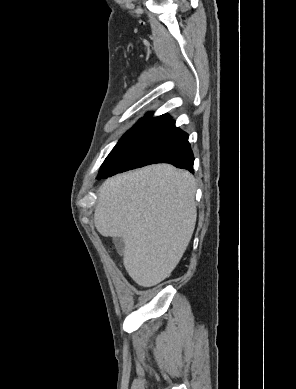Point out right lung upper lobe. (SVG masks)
<instances>
[{"label":"right lung upper lobe","mask_w":296,"mask_h":389,"mask_svg":"<svg viewBox=\"0 0 296 389\" xmlns=\"http://www.w3.org/2000/svg\"><path fill=\"white\" fill-rule=\"evenodd\" d=\"M151 116H152V113H148V114L146 115V117H151ZM159 118H167V119H170V118L168 117L167 114L161 115V116H159Z\"/></svg>","instance_id":"right-lung-upper-lobe-1"}]
</instances>
